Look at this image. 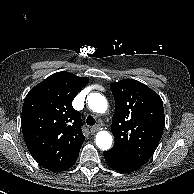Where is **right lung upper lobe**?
Segmentation results:
<instances>
[{"label":"right lung upper lobe","instance_id":"obj_1","mask_svg":"<svg viewBox=\"0 0 194 194\" xmlns=\"http://www.w3.org/2000/svg\"><path fill=\"white\" fill-rule=\"evenodd\" d=\"M89 82L70 72L54 73L27 94L21 114L25 143L32 157L45 169L71 168L85 140L81 116L72 100Z\"/></svg>","mask_w":194,"mask_h":194}]
</instances>
